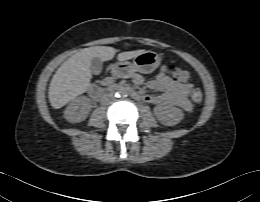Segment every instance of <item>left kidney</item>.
I'll use <instances>...</instances> for the list:
<instances>
[{
    "label": "left kidney",
    "mask_w": 260,
    "mask_h": 202,
    "mask_svg": "<svg viewBox=\"0 0 260 202\" xmlns=\"http://www.w3.org/2000/svg\"><path fill=\"white\" fill-rule=\"evenodd\" d=\"M154 114L159 122L166 126H174L184 118L181 109L169 104L157 105L154 108Z\"/></svg>",
    "instance_id": "left-kidney-1"
}]
</instances>
